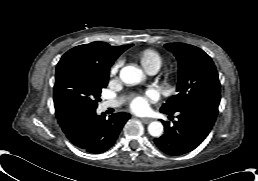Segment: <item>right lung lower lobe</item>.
<instances>
[{"label": "right lung lower lobe", "mask_w": 258, "mask_h": 181, "mask_svg": "<svg viewBox=\"0 0 258 181\" xmlns=\"http://www.w3.org/2000/svg\"><path fill=\"white\" fill-rule=\"evenodd\" d=\"M58 122L68 139L78 148L94 154L110 149L126 121L127 113H117L105 118L96 109L70 105L56 109Z\"/></svg>", "instance_id": "obj_1"}]
</instances>
